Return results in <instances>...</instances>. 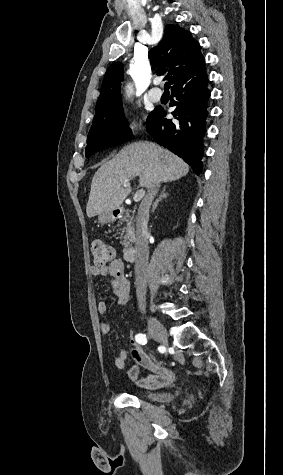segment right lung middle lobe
Segmentation results:
<instances>
[{
	"label": "right lung middle lobe",
	"mask_w": 283,
	"mask_h": 475,
	"mask_svg": "<svg viewBox=\"0 0 283 475\" xmlns=\"http://www.w3.org/2000/svg\"><path fill=\"white\" fill-rule=\"evenodd\" d=\"M130 137L131 130L125 120L122 105L95 108V116L87 138L86 157L129 141Z\"/></svg>",
	"instance_id": "right-lung-middle-lobe-1"
}]
</instances>
